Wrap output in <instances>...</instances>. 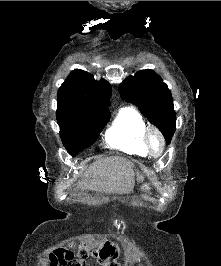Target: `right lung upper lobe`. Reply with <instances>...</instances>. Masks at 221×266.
Instances as JSON below:
<instances>
[{
    "label": "right lung upper lobe",
    "instance_id": "cb5924a9",
    "mask_svg": "<svg viewBox=\"0 0 221 266\" xmlns=\"http://www.w3.org/2000/svg\"><path fill=\"white\" fill-rule=\"evenodd\" d=\"M111 85L83 70L71 72L58 90V102L84 115L110 114Z\"/></svg>",
    "mask_w": 221,
    "mask_h": 266
}]
</instances>
